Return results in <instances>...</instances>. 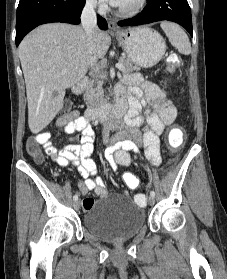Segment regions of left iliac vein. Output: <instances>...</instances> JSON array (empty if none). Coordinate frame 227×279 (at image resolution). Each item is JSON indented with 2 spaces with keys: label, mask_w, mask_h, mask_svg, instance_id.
Instances as JSON below:
<instances>
[{
  "label": "left iliac vein",
  "mask_w": 227,
  "mask_h": 279,
  "mask_svg": "<svg viewBox=\"0 0 227 279\" xmlns=\"http://www.w3.org/2000/svg\"><path fill=\"white\" fill-rule=\"evenodd\" d=\"M148 203H149L150 205H153V204L155 203V198H154L153 196H149V198H148Z\"/></svg>",
  "instance_id": "1"
}]
</instances>
